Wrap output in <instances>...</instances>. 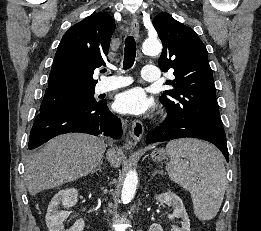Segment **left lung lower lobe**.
<instances>
[{"mask_svg":"<svg viewBox=\"0 0 261 231\" xmlns=\"http://www.w3.org/2000/svg\"><path fill=\"white\" fill-rule=\"evenodd\" d=\"M186 137H193L211 142L221 150L228 161L229 153L226 139L202 131L178 116L168 114L167 118L160 124V126L147 134L146 142L147 144H150Z\"/></svg>","mask_w":261,"mask_h":231,"instance_id":"0a47b994","label":"left lung lower lobe"}]
</instances>
